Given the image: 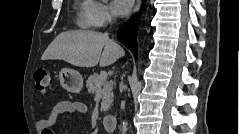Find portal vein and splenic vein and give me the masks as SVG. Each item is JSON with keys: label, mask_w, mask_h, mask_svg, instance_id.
Returning <instances> with one entry per match:
<instances>
[{"label": "portal vein and splenic vein", "mask_w": 239, "mask_h": 134, "mask_svg": "<svg viewBox=\"0 0 239 134\" xmlns=\"http://www.w3.org/2000/svg\"><path fill=\"white\" fill-rule=\"evenodd\" d=\"M107 79V73L105 71H102L100 73V80L103 82V81H106Z\"/></svg>", "instance_id": "1"}]
</instances>
